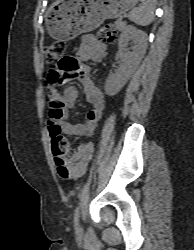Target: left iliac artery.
Here are the masks:
<instances>
[{
  "label": "left iliac artery",
  "mask_w": 194,
  "mask_h": 250,
  "mask_svg": "<svg viewBox=\"0 0 194 250\" xmlns=\"http://www.w3.org/2000/svg\"><path fill=\"white\" fill-rule=\"evenodd\" d=\"M78 222H79V206L75 209L74 213V226L76 231H78Z\"/></svg>",
  "instance_id": "1"
}]
</instances>
